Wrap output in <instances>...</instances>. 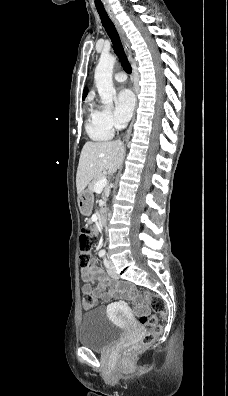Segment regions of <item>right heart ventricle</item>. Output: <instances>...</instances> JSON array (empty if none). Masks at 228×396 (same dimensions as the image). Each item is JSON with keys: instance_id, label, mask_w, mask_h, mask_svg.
<instances>
[{"instance_id": "obj_1", "label": "right heart ventricle", "mask_w": 228, "mask_h": 396, "mask_svg": "<svg viewBox=\"0 0 228 396\" xmlns=\"http://www.w3.org/2000/svg\"><path fill=\"white\" fill-rule=\"evenodd\" d=\"M86 131L95 141H106L112 138L113 130L104 126L98 116L97 110L90 108L89 118L86 122Z\"/></svg>"}]
</instances>
